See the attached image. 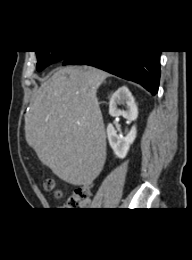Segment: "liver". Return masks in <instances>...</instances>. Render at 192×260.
Segmentation results:
<instances>
[{"instance_id":"6515ba94","label":"liver","mask_w":192,"mask_h":260,"mask_svg":"<svg viewBox=\"0 0 192 260\" xmlns=\"http://www.w3.org/2000/svg\"><path fill=\"white\" fill-rule=\"evenodd\" d=\"M109 76L91 66L58 69L34 94L25 138L61 180L92 183L106 161V135L97 89Z\"/></svg>"}]
</instances>
